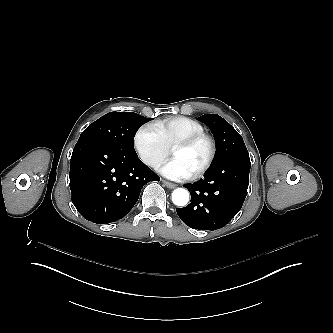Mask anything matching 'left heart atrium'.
Returning <instances> with one entry per match:
<instances>
[{
  "label": "left heart atrium",
  "instance_id": "left-heart-atrium-1",
  "mask_svg": "<svg viewBox=\"0 0 333 333\" xmlns=\"http://www.w3.org/2000/svg\"><path fill=\"white\" fill-rule=\"evenodd\" d=\"M160 173L172 180L183 181L192 176V173L178 160L169 159L160 169Z\"/></svg>",
  "mask_w": 333,
  "mask_h": 333
}]
</instances>
